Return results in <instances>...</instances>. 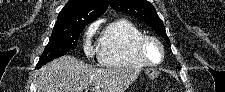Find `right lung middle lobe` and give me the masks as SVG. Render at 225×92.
<instances>
[{
  "label": "right lung middle lobe",
  "instance_id": "obj_1",
  "mask_svg": "<svg viewBox=\"0 0 225 92\" xmlns=\"http://www.w3.org/2000/svg\"><path fill=\"white\" fill-rule=\"evenodd\" d=\"M86 23H76L72 27H54L49 43L46 45L36 69H40L48 62L65 55L76 48L80 33Z\"/></svg>",
  "mask_w": 225,
  "mask_h": 92
}]
</instances>
